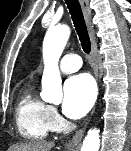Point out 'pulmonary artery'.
Here are the masks:
<instances>
[{
	"mask_svg": "<svg viewBox=\"0 0 131 151\" xmlns=\"http://www.w3.org/2000/svg\"><path fill=\"white\" fill-rule=\"evenodd\" d=\"M82 60L79 55L68 53L60 61V70L63 73L69 74L80 69Z\"/></svg>",
	"mask_w": 131,
	"mask_h": 151,
	"instance_id": "pulmonary-artery-1",
	"label": "pulmonary artery"
}]
</instances>
